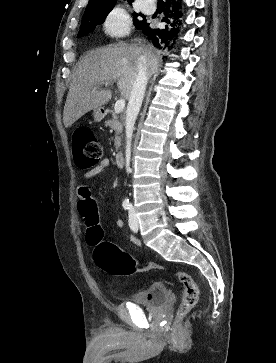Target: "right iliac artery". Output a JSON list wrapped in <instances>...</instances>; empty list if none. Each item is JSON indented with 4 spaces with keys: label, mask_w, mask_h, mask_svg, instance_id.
Returning <instances> with one entry per match:
<instances>
[{
    "label": "right iliac artery",
    "mask_w": 276,
    "mask_h": 363,
    "mask_svg": "<svg viewBox=\"0 0 276 363\" xmlns=\"http://www.w3.org/2000/svg\"><path fill=\"white\" fill-rule=\"evenodd\" d=\"M122 206L125 210H129L131 208V204L128 199L123 201Z\"/></svg>",
    "instance_id": "obj_1"
}]
</instances>
